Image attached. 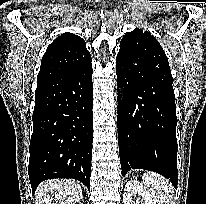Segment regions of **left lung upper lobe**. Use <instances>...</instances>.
<instances>
[{"label": "left lung upper lobe", "instance_id": "obj_1", "mask_svg": "<svg viewBox=\"0 0 206 204\" xmlns=\"http://www.w3.org/2000/svg\"><path fill=\"white\" fill-rule=\"evenodd\" d=\"M117 56L123 59L133 71L140 67L143 60L160 63L167 69L170 68L165 52L156 38L138 28L122 38Z\"/></svg>", "mask_w": 206, "mask_h": 204}]
</instances>
